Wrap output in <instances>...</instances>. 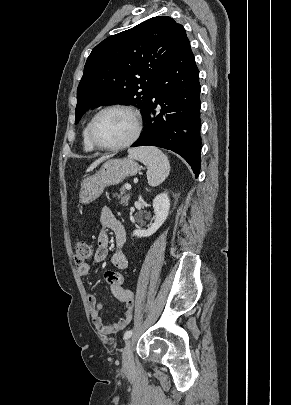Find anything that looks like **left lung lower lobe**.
<instances>
[{"label":"left lung lower lobe","mask_w":291,"mask_h":405,"mask_svg":"<svg viewBox=\"0 0 291 405\" xmlns=\"http://www.w3.org/2000/svg\"><path fill=\"white\" fill-rule=\"evenodd\" d=\"M200 106L199 70L186 38L151 88L143 114L145 132L132 147L148 145L172 150L189 163L198 177Z\"/></svg>","instance_id":"obj_1"}]
</instances>
